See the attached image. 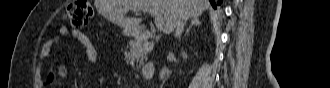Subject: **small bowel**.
Returning a JSON list of instances; mask_svg holds the SVG:
<instances>
[{
    "mask_svg": "<svg viewBox=\"0 0 330 88\" xmlns=\"http://www.w3.org/2000/svg\"><path fill=\"white\" fill-rule=\"evenodd\" d=\"M61 36H69L74 40L78 41L85 49L86 57L90 63L93 65H100V57L94 48L90 38L83 32L75 29H71L68 26H62L59 30ZM60 37L54 39V42H59ZM51 43L45 45L41 50V57H45L50 51ZM55 78L53 72H49L46 81L52 82ZM100 81H103V77L100 78Z\"/></svg>",
    "mask_w": 330,
    "mask_h": 88,
    "instance_id": "small-bowel-1",
    "label": "small bowel"
}]
</instances>
